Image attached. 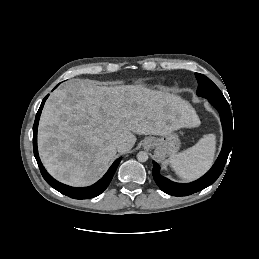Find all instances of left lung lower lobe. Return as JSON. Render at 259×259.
<instances>
[{"label": "left lung lower lobe", "instance_id": "obj_1", "mask_svg": "<svg viewBox=\"0 0 259 259\" xmlns=\"http://www.w3.org/2000/svg\"><path fill=\"white\" fill-rule=\"evenodd\" d=\"M208 101L218 110L223 127V146L221 153L212 168L198 180L187 183H175L160 175L159 165L153 161V178L162 191L173 196H187L213 184L222 173L233 143L232 115L225 98Z\"/></svg>", "mask_w": 259, "mask_h": 259}]
</instances>
